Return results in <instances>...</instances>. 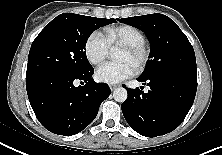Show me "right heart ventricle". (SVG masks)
Listing matches in <instances>:
<instances>
[{"label": "right heart ventricle", "instance_id": "e07e8e85", "mask_svg": "<svg viewBox=\"0 0 222 155\" xmlns=\"http://www.w3.org/2000/svg\"><path fill=\"white\" fill-rule=\"evenodd\" d=\"M105 34L110 46L143 45L146 42L145 34L128 24L107 28Z\"/></svg>", "mask_w": 222, "mask_h": 155}]
</instances>
